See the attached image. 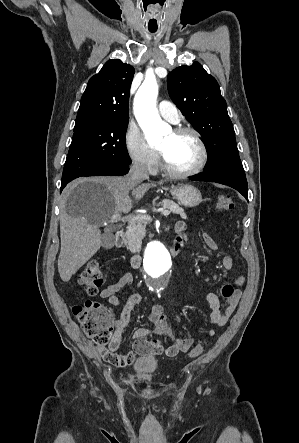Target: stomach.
<instances>
[{
	"label": "stomach",
	"mask_w": 299,
	"mask_h": 443,
	"mask_svg": "<svg viewBox=\"0 0 299 443\" xmlns=\"http://www.w3.org/2000/svg\"><path fill=\"white\" fill-rule=\"evenodd\" d=\"M170 192L174 199L185 207H195L202 201L200 191L191 185L172 186Z\"/></svg>",
	"instance_id": "obj_1"
}]
</instances>
